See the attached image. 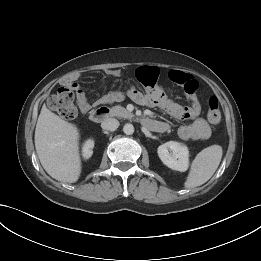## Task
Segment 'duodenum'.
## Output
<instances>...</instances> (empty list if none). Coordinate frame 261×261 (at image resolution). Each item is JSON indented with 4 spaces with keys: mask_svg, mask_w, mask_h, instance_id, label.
<instances>
[{
    "mask_svg": "<svg viewBox=\"0 0 261 261\" xmlns=\"http://www.w3.org/2000/svg\"><path fill=\"white\" fill-rule=\"evenodd\" d=\"M109 115L110 109L107 106H99L93 111L91 118L94 122H102L106 118H108ZM141 122L146 128L150 130L158 132H162L165 130V126L161 122L152 120L150 118H142Z\"/></svg>",
    "mask_w": 261,
    "mask_h": 261,
    "instance_id": "410a0bca",
    "label": "duodenum"
}]
</instances>
